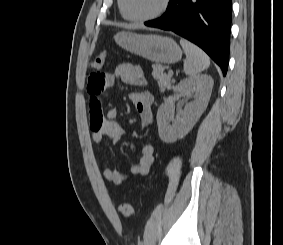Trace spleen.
Returning a JSON list of instances; mask_svg holds the SVG:
<instances>
[{
  "label": "spleen",
  "instance_id": "obj_1",
  "mask_svg": "<svg viewBox=\"0 0 283 245\" xmlns=\"http://www.w3.org/2000/svg\"><path fill=\"white\" fill-rule=\"evenodd\" d=\"M180 44L186 54V60L184 61L186 75L195 77L209 67L210 59L202 49L186 39H180Z\"/></svg>",
  "mask_w": 283,
  "mask_h": 245
}]
</instances>
